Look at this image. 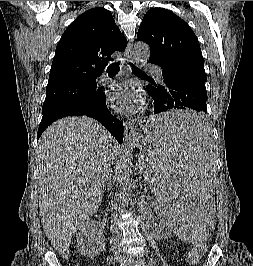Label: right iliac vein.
Returning <instances> with one entry per match:
<instances>
[{
	"instance_id": "1",
	"label": "right iliac vein",
	"mask_w": 253,
	"mask_h": 266,
	"mask_svg": "<svg viewBox=\"0 0 253 266\" xmlns=\"http://www.w3.org/2000/svg\"><path fill=\"white\" fill-rule=\"evenodd\" d=\"M123 260H124V257H122V256H116V259H115L116 263L120 264V263L123 262Z\"/></svg>"
}]
</instances>
